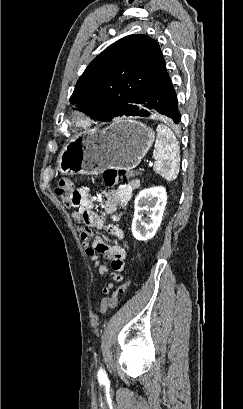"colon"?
I'll return each instance as SVG.
<instances>
[{
  "label": "colon",
  "instance_id": "5ec220e1",
  "mask_svg": "<svg viewBox=\"0 0 243 409\" xmlns=\"http://www.w3.org/2000/svg\"><path fill=\"white\" fill-rule=\"evenodd\" d=\"M134 174V171L130 169L110 168L103 174L104 183L107 187H113L122 181L130 180ZM55 193L61 202L67 207L72 208L79 205L80 198L70 179L60 180L55 189ZM129 285V281L125 282L123 285L118 286L110 297L103 299L98 308V312L100 314H105L110 309L115 308L118 305L120 296L126 292Z\"/></svg>",
  "mask_w": 243,
  "mask_h": 409
}]
</instances>
